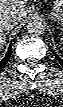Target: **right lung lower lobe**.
Returning a JSON list of instances; mask_svg holds the SVG:
<instances>
[{
	"instance_id": "98d812e1",
	"label": "right lung lower lobe",
	"mask_w": 63,
	"mask_h": 107,
	"mask_svg": "<svg viewBox=\"0 0 63 107\" xmlns=\"http://www.w3.org/2000/svg\"><path fill=\"white\" fill-rule=\"evenodd\" d=\"M11 53H12V47H11V44L8 48V51L5 55V57L3 59L0 60V71L2 70V68L6 65V63L9 61V58L11 56Z\"/></svg>"
}]
</instances>
